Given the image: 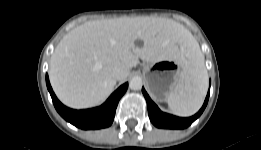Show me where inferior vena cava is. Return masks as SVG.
Returning <instances> with one entry per match:
<instances>
[{
    "label": "inferior vena cava",
    "mask_w": 261,
    "mask_h": 150,
    "mask_svg": "<svg viewBox=\"0 0 261 150\" xmlns=\"http://www.w3.org/2000/svg\"><path fill=\"white\" fill-rule=\"evenodd\" d=\"M128 74H129V69L121 65L115 66L112 70V76L116 80H123L128 76Z\"/></svg>",
    "instance_id": "1"
}]
</instances>
